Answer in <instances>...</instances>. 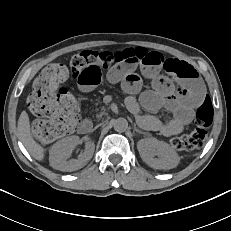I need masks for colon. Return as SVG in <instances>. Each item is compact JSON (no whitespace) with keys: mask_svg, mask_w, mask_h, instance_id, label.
<instances>
[{"mask_svg":"<svg viewBox=\"0 0 231 231\" xmlns=\"http://www.w3.org/2000/svg\"><path fill=\"white\" fill-rule=\"evenodd\" d=\"M155 57L143 48H129L122 51H84L70 59L69 69L60 63L46 66L33 84L28 98L31 112L39 117L33 124V135L42 144H47L71 133L79 120V108L74 97L63 87L69 71L78 77L87 67H116L122 63H144ZM213 110L205 100L196 110L195 128L189 133L171 140L178 150H192L202 147L212 123Z\"/></svg>","mask_w":231,"mask_h":231,"instance_id":"1","label":"colon"}]
</instances>
